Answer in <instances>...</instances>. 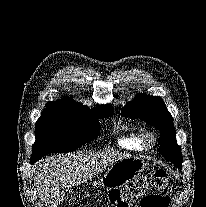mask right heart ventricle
Listing matches in <instances>:
<instances>
[{
    "instance_id": "1",
    "label": "right heart ventricle",
    "mask_w": 206,
    "mask_h": 207,
    "mask_svg": "<svg viewBox=\"0 0 206 207\" xmlns=\"http://www.w3.org/2000/svg\"><path fill=\"white\" fill-rule=\"evenodd\" d=\"M142 135L143 133L140 130H128L119 136L118 144L127 150L142 151L145 149Z\"/></svg>"
}]
</instances>
